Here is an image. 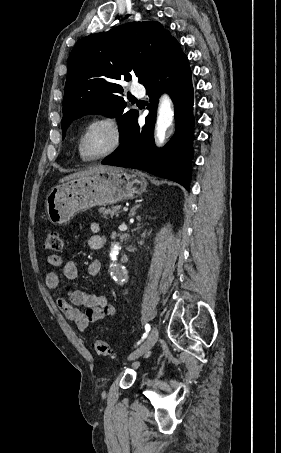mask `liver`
Returning <instances> with one entry per match:
<instances>
[{
	"instance_id": "liver-1",
	"label": "liver",
	"mask_w": 281,
	"mask_h": 453,
	"mask_svg": "<svg viewBox=\"0 0 281 453\" xmlns=\"http://www.w3.org/2000/svg\"><path fill=\"white\" fill-rule=\"evenodd\" d=\"M115 166H94L90 170H80V172H73V174H68L64 178H60L59 182H65V180H72V178H84V176H90V174H97V172H105V170H114Z\"/></svg>"
}]
</instances>
